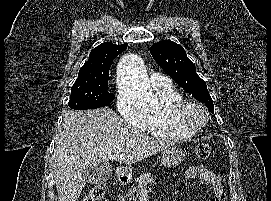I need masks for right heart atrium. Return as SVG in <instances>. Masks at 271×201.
Here are the masks:
<instances>
[{"instance_id": "d8ad5b80", "label": "right heart atrium", "mask_w": 271, "mask_h": 201, "mask_svg": "<svg viewBox=\"0 0 271 201\" xmlns=\"http://www.w3.org/2000/svg\"><path fill=\"white\" fill-rule=\"evenodd\" d=\"M116 107L122 117L132 125L142 128L146 121L145 114L137 111L121 93L116 95Z\"/></svg>"}]
</instances>
